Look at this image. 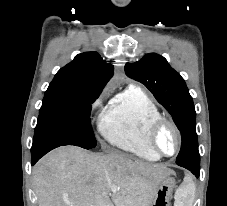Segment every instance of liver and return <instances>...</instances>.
I'll list each match as a JSON object with an SVG mask.
<instances>
[{
	"label": "liver",
	"mask_w": 227,
	"mask_h": 206,
	"mask_svg": "<svg viewBox=\"0 0 227 206\" xmlns=\"http://www.w3.org/2000/svg\"><path fill=\"white\" fill-rule=\"evenodd\" d=\"M172 173L119 154L63 146L38 161L33 184L38 206H113L110 197L116 206H150Z\"/></svg>",
	"instance_id": "1"
}]
</instances>
